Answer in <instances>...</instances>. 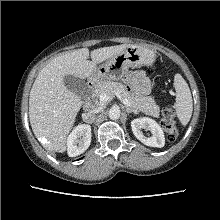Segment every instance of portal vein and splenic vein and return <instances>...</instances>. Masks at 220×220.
<instances>
[{
  "label": "portal vein and splenic vein",
  "instance_id": "1",
  "mask_svg": "<svg viewBox=\"0 0 220 220\" xmlns=\"http://www.w3.org/2000/svg\"><path fill=\"white\" fill-rule=\"evenodd\" d=\"M117 96H118V98L120 99V101H121L123 104H125L126 106H131V103H130L127 99L123 98V97H122L121 95H119V94H117ZM112 99H113V97L110 96L109 94H106V93L101 94V95L99 96V100H100L101 103H107V102L111 101Z\"/></svg>",
  "mask_w": 220,
  "mask_h": 220
}]
</instances>
